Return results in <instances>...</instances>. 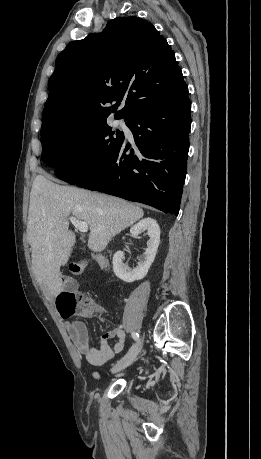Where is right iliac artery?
Returning <instances> with one entry per match:
<instances>
[{
	"instance_id": "obj_1",
	"label": "right iliac artery",
	"mask_w": 261,
	"mask_h": 459,
	"mask_svg": "<svg viewBox=\"0 0 261 459\" xmlns=\"http://www.w3.org/2000/svg\"><path fill=\"white\" fill-rule=\"evenodd\" d=\"M132 338H133L136 342H138V341H139V334H138L137 332H132ZM132 348H133V347H132ZM132 348H131V349H132ZM131 349H130V350H131ZM128 353H129V352H128ZM128 353H127L123 358H125V357L128 355Z\"/></svg>"
}]
</instances>
